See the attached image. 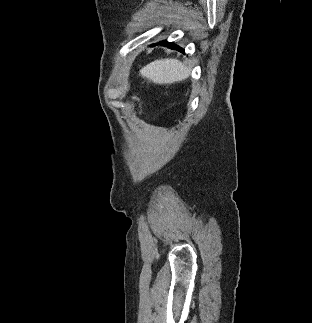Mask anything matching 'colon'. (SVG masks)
Here are the masks:
<instances>
[{"label":"colon","mask_w":312,"mask_h":323,"mask_svg":"<svg viewBox=\"0 0 312 323\" xmlns=\"http://www.w3.org/2000/svg\"><path fill=\"white\" fill-rule=\"evenodd\" d=\"M135 99L137 100V102L140 104V98L138 96H135Z\"/></svg>","instance_id":"5ec220e1"}]
</instances>
